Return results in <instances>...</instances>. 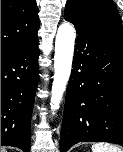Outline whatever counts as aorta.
<instances>
[{
    "label": "aorta",
    "instance_id": "obj_1",
    "mask_svg": "<svg viewBox=\"0 0 123 152\" xmlns=\"http://www.w3.org/2000/svg\"><path fill=\"white\" fill-rule=\"evenodd\" d=\"M75 45V30L69 22H63L55 40L54 76L51 90L50 109L55 113L70 78Z\"/></svg>",
    "mask_w": 123,
    "mask_h": 152
}]
</instances>
